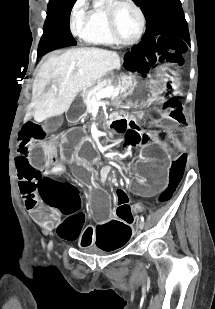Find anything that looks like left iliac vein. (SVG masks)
Instances as JSON below:
<instances>
[{"instance_id": "obj_1", "label": "left iliac vein", "mask_w": 215, "mask_h": 309, "mask_svg": "<svg viewBox=\"0 0 215 309\" xmlns=\"http://www.w3.org/2000/svg\"><path fill=\"white\" fill-rule=\"evenodd\" d=\"M138 227H139L140 230H143L144 222L140 220L139 223H138Z\"/></svg>"}]
</instances>
